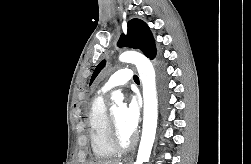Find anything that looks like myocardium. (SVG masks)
<instances>
[{
  "label": "myocardium",
  "mask_w": 251,
  "mask_h": 164,
  "mask_svg": "<svg viewBox=\"0 0 251 164\" xmlns=\"http://www.w3.org/2000/svg\"><path fill=\"white\" fill-rule=\"evenodd\" d=\"M110 136L113 146L117 151H127L136 143V137L131 134L127 140H123L113 113H109Z\"/></svg>",
  "instance_id": "myocardium-1"
}]
</instances>
